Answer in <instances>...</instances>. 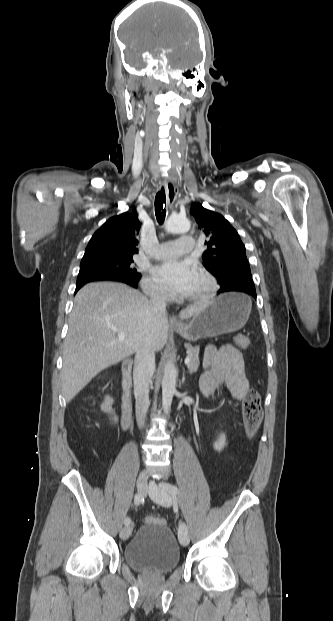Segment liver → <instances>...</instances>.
<instances>
[{
	"mask_svg": "<svg viewBox=\"0 0 333 621\" xmlns=\"http://www.w3.org/2000/svg\"><path fill=\"white\" fill-rule=\"evenodd\" d=\"M208 301L180 313L188 319ZM120 330L125 334L118 339ZM168 317L156 311L138 290L118 283H90L75 298L63 347L62 393L70 402L100 371L116 364L148 343L161 351L168 340Z\"/></svg>",
	"mask_w": 333,
	"mask_h": 621,
	"instance_id": "1",
	"label": "liver"
}]
</instances>
